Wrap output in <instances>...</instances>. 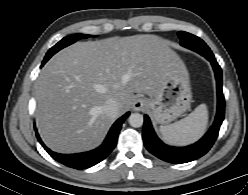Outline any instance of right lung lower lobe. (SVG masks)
Wrapping results in <instances>:
<instances>
[{"label":"right lung lower lobe","instance_id":"right-lung-lower-lobe-1","mask_svg":"<svg viewBox=\"0 0 248 195\" xmlns=\"http://www.w3.org/2000/svg\"><path fill=\"white\" fill-rule=\"evenodd\" d=\"M45 63L46 62H43L42 66ZM128 116H129V112H127L125 115L120 117L111 127L103 144L97 149L91 150L89 152H83L77 154H58L56 152L51 151L49 148H47L44 145L37 132L36 135L40 144L44 147V149L48 152V154L56 161L74 169H86L101 162L115 148L121 126L124 120Z\"/></svg>","mask_w":248,"mask_h":195}]
</instances>
